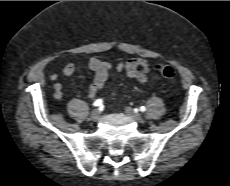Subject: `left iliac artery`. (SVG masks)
<instances>
[{"mask_svg": "<svg viewBox=\"0 0 230 186\" xmlns=\"http://www.w3.org/2000/svg\"><path fill=\"white\" fill-rule=\"evenodd\" d=\"M140 111L145 112L146 111V107L145 106H141L140 107Z\"/></svg>", "mask_w": 230, "mask_h": 186, "instance_id": "1", "label": "left iliac artery"}]
</instances>
